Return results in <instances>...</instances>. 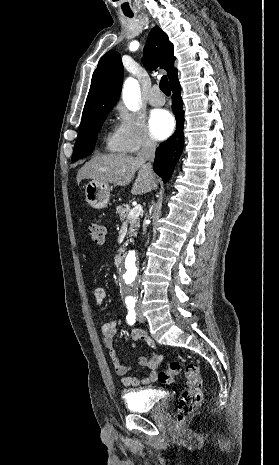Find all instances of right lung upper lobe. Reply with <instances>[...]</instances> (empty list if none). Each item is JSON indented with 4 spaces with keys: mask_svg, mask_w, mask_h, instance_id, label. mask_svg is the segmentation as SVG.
I'll return each instance as SVG.
<instances>
[{
    "mask_svg": "<svg viewBox=\"0 0 279 465\" xmlns=\"http://www.w3.org/2000/svg\"><path fill=\"white\" fill-rule=\"evenodd\" d=\"M173 50V44L169 42L167 34L158 26L154 27L144 48L143 64L149 69H165L170 85L178 80ZM122 82L123 66L120 54L110 50L100 59L93 73L80 126L89 123L102 111L113 108L118 101Z\"/></svg>",
    "mask_w": 279,
    "mask_h": 465,
    "instance_id": "cb5924a9",
    "label": "right lung upper lobe"
}]
</instances>
